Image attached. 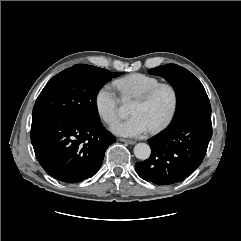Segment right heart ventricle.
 Listing matches in <instances>:
<instances>
[{"mask_svg":"<svg viewBox=\"0 0 241 241\" xmlns=\"http://www.w3.org/2000/svg\"><path fill=\"white\" fill-rule=\"evenodd\" d=\"M159 83L160 80L154 76L134 73L115 80L113 84L118 90L121 98L135 99Z\"/></svg>","mask_w":241,"mask_h":241,"instance_id":"obj_1","label":"right heart ventricle"}]
</instances>
